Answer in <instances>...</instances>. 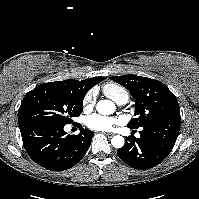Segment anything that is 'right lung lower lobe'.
I'll list each match as a JSON object with an SVG mask.
<instances>
[{"mask_svg": "<svg viewBox=\"0 0 199 199\" xmlns=\"http://www.w3.org/2000/svg\"><path fill=\"white\" fill-rule=\"evenodd\" d=\"M64 126L46 122L20 124L24 148L38 165L48 170L62 171L84 157L94 132L86 128L78 135H66Z\"/></svg>", "mask_w": 199, "mask_h": 199, "instance_id": "obj_1", "label": "right lung lower lobe"}]
</instances>
